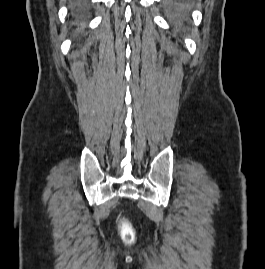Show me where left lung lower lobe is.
Instances as JSON below:
<instances>
[{
    "instance_id": "obj_1",
    "label": "left lung lower lobe",
    "mask_w": 265,
    "mask_h": 269,
    "mask_svg": "<svg viewBox=\"0 0 265 269\" xmlns=\"http://www.w3.org/2000/svg\"><path fill=\"white\" fill-rule=\"evenodd\" d=\"M165 10L172 17H183L190 10L191 0H164Z\"/></svg>"
}]
</instances>
